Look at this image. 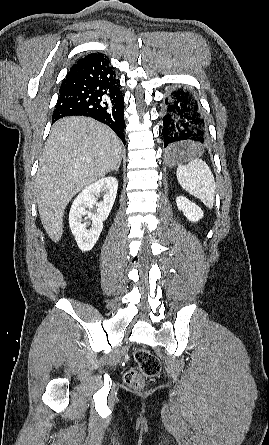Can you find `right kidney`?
I'll list each match as a JSON object with an SVG mask.
<instances>
[{"instance_id":"1","label":"right kidney","mask_w":269,"mask_h":445,"mask_svg":"<svg viewBox=\"0 0 269 445\" xmlns=\"http://www.w3.org/2000/svg\"><path fill=\"white\" fill-rule=\"evenodd\" d=\"M117 189V179L110 176L90 184L75 198L69 212V225L82 251H90L96 244L103 229V222L108 218L115 202ZM100 192L105 195L102 201L97 202L95 196ZM94 205L98 207L97 214L90 212ZM84 216L92 221L90 229L86 228V223H82Z\"/></svg>"}]
</instances>
